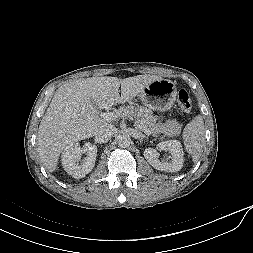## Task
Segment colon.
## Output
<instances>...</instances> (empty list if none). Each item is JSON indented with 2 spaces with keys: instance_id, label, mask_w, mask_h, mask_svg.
<instances>
[{
  "instance_id": "obj_1",
  "label": "colon",
  "mask_w": 253,
  "mask_h": 253,
  "mask_svg": "<svg viewBox=\"0 0 253 253\" xmlns=\"http://www.w3.org/2000/svg\"><path fill=\"white\" fill-rule=\"evenodd\" d=\"M177 102L185 113H190L192 111V102L186 90L181 89L178 91Z\"/></svg>"
}]
</instances>
